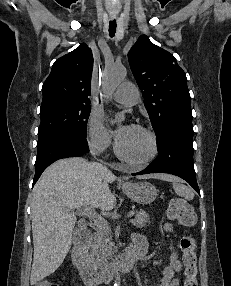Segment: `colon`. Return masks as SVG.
I'll return each instance as SVG.
<instances>
[{"label": "colon", "mask_w": 231, "mask_h": 286, "mask_svg": "<svg viewBox=\"0 0 231 286\" xmlns=\"http://www.w3.org/2000/svg\"><path fill=\"white\" fill-rule=\"evenodd\" d=\"M168 215L171 219L176 220L182 226L191 228L196 224L197 217L193 207L182 198L171 200L168 208ZM180 248L182 250L184 270L183 286H198L197 282V257L196 242L191 233H187L181 238ZM36 286H57L55 283L42 280Z\"/></svg>", "instance_id": "1"}]
</instances>
